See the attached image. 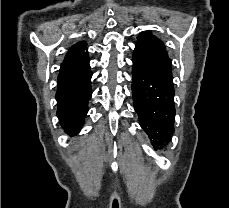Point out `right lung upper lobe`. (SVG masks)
Masks as SVG:
<instances>
[{"mask_svg":"<svg viewBox=\"0 0 229 208\" xmlns=\"http://www.w3.org/2000/svg\"><path fill=\"white\" fill-rule=\"evenodd\" d=\"M86 42L73 45L65 56L60 67L58 85L74 79L86 72L89 67V57Z\"/></svg>","mask_w":229,"mask_h":208,"instance_id":"obj_1","label":"right lung upper lobe"}]
</instances>
